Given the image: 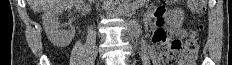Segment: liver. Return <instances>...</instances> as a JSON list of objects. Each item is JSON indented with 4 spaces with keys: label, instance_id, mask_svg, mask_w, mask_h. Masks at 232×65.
<instances>
[{
    "label": "liver",
    "instance_id": "6515ba94",
    "mask_svg": "<svg viewBox=\"0 0 232 65\" xmlns=\"http://www.w3.org/2000/svg\"><path fill=\"white\" fill-rule=\"evenodd\" d=\"M56 0H28V4L35 12H40L54 5Z\"/></svg>",
    "mask_w": 232,
    "mask_h": 65
}]
</instances>
